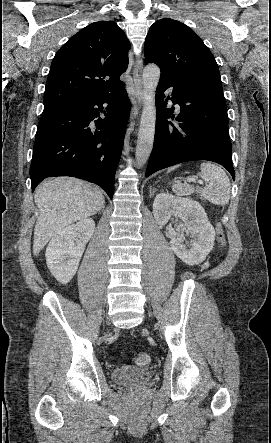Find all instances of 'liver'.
Instances as JSON below:
<instances>
[{"instance_id":"6515ba94","label":"liver","mask_w":271,"mask_h":443,"mask_svg":"<svg viewBox=\"0 0 271 443\" xmlns=\"http://www.w3.org/2000/svg\"><path fill=\"white\" fill-rule=\"evenodd\" d=\"M34 202L39 218L34 229L33 255H38L51 237L65 225L85 220L102 210L105 198L96 188L76 178H54L38 186Z\"/></svg>"}]
</instances>
